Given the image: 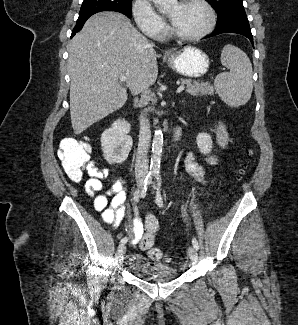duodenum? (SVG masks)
<instances>
[{"label":"duodenum","instance_id":"obj_1","mask_svg":"<svg viewBox=\"0 0 298 325\" xmlns=\"http://www.w3.org/2000/svg\"><path fill=\"white\" fill-rule=\"evenodd\" d=\"M134 104L137 105L138 104V101L137 100H134ZM180 136V129H177L174 133V138L175 139H178Z\"/></svg>","mask_w":298,"mask_h":325}]
</instances>
